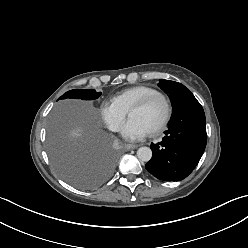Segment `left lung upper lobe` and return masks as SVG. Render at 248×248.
Returning a JSON list of instances; mask_svg holds the SVG:
<instances>
[{
  "label": "left lung upper lobe",
  "instance_id": "5c2ea615",
  "mask_svg": "<svg viewBox=\"0 0 248 248\" xmlns=\"http://www.w3.org/2000/svg\"><path fill=\"white\" fill-rule=\"evenodd\" d=\"M158 85L166 94H168L172 103L173 112L186 99L193 96L188 88L178 82L161 79Z\"/></svg>",
  "mask_w": 248,
  "mask_h": 248
}]
</instances>
